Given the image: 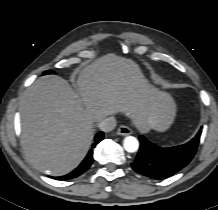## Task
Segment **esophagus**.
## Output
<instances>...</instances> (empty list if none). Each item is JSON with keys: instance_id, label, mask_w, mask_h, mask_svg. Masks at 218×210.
<instances>
[{"instance_id": "esophagus-1", "label": "esophagus", "mask_w": 218, "mask_h": 210, "mask_svg": "<svg viewBox=\"0 0 218 210\" xmlns=\"http://www.w3.org/2000/svg\"><path fill=\"white\" fill-rule=\"evenodd\" d=\"M131 133L132 130L127 126H120L117 130V134L122 136L130 135Z\"/></svg>"}]
</instances>
